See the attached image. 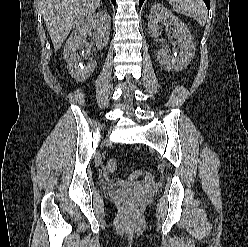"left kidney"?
Returning a JSON list of instances; mask_svg holds the SVG:
<instances>
[{"label": "left kidney", "mask_w": 248, "mask_h": 247, "mask_svg": "<svg viewBox=\"0 0 248 247\" xmlns=\"http://www.w3.org/2000/svg\"><path fill=\"white\" fill-rule=\"evenodd\" d=\"M166 21L174 25V37L179 44L178 55L170 56L169 50L162 47L157 52L160 65L167 71H181L186 68L195 55L196 44L187 25L175 17L169 10L160 4L153 5L148 20V31L150 36L158 37L161 33L159 23Z\"/></svg>", "instance_id": "5707ae66"}]
</instances>
